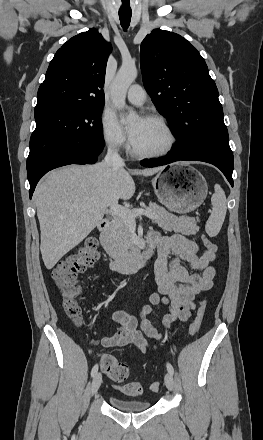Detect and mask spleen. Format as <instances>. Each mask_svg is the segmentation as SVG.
Instances as JSON below:
<instances>
[{
	"label": "spleen",
	"instance_id": "1",
	"mask_svg": "<svg viewBox=\"0 0 263 440\" xmlns=\"http://www.w3.org/2000/svg\"><path fill=\"white\" fill-rule=\"evenodd\" d=\"M211 203L212 212L206 222L205 229L210 237H214L220 232L227 211L226 195L219 184L214 186Z\"/></svg>",
	"mask_w": 263,
	"mask_h": 440
}]
</instances>
